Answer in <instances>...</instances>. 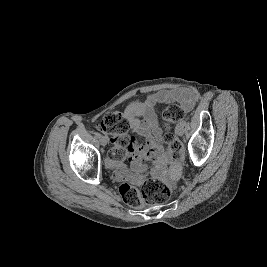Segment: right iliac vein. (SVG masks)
Masks as SVG:
<instances>
[{"label": "right iliac vein", "instance_id": "obj_1", "mask_svg": "<svg viewBox=\"0 0 267 267\" xmlns=\"http://www.w3.org/2000/svg\"><path fill=\"white\" fill-rule=\"evenodd\" d=\"M100 143H101V145H103V146H105L106 144H107V139H106V137H101L100 138Z\"/></svg>", "mask_w": 267, "mask_h": 267}]
</instances>
